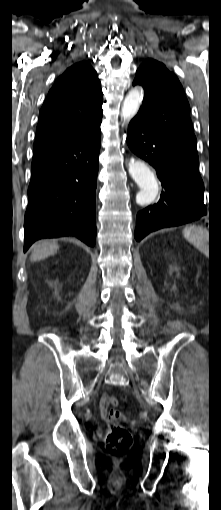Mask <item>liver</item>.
Returning a JSON list of instances; mask_svg holds the SVG:
<instances>
[{"label": "liver", "mask_w": 221, "mask_h": 510, "mask_svg": "<svg viewBox=\"0 0 221 510\" xmlns=\"http://www.w3.org/2000/svg\"><path fill=\"white\" fill-rule=\"evenodd\" d=\"M59 249V245L57 243H49L47 241L38 242L33 246L31 261H39L54 255Z\"/></svg>", "instance_id": "1"}]
</instances>
